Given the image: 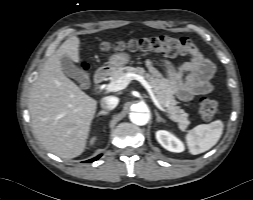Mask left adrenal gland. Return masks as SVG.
<instances>
[{
  "label": "left adrenal gland",
  "mask_w": 253,
  "mask_h": 200,
  "mask_svg": "<svg viewBox=\"0 0 253 200\" xmlns=\"http://www.w3.org/2000/svg\"><path fill=\"white\" fill-rule=\"evenodd\" d=\"M155 115H156V121L157 122H164V119L159 115L157 110H155Z\"/></svg>",
  "instance_id": "a2214340"
}]
</instances>
